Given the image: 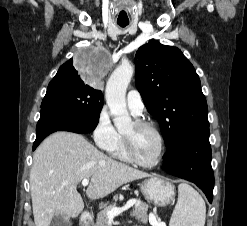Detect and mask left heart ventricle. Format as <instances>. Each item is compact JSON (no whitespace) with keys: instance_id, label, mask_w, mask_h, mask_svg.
<instances>
[{"instance_id":"left-heart-ventricle-1","label":"left heart ventricle","mask_w":247,"mask_h":226,"mask_svg":"<svg viewBox=\"0 0 247 226\" xmlns=\"http://www.w3.org/2000/svg\"><path fill=\"white\" fill-rule=\"evenodd\" d=\"M124 132L130 134L134 152L141 161L151 163L157 159L160 143L151 129L135 128L133 124H130Z\"/></svg>"}]
</instances>
